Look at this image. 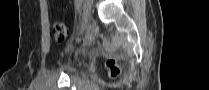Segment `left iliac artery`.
I'll return each instance as SVG.
<instances>
[{"mask_svg": "<svg viewBox=\"0 0 209 90\" xmlns=\"http://www.w3.org/2000/svg\"><path fill=\"white\" fill-rule=\"evenodd\" d=\"M77 13H80L81 5H83V0H76L75 1Z\"/></svg>", "mask_w": 209, "mask_h": 90, "instance_id": "left-iliac-artery-1", "label": "left iliac artery"}]
</instances>
